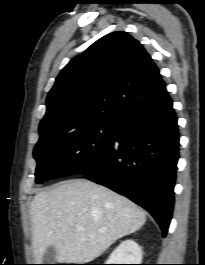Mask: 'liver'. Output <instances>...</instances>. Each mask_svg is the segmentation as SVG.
I'll list each match as a JSON object with an SVG mask.
<instances>
[{
    "mask_svg": "<svg viewBox=\"0 0 205 265\" xmlns=\"http://www.w3.org/2000/svg\"><path fill=\"white\" fill-rule=\"evenodd\" d=\"M30 215L37 264L49 246L55 248L57 262H91L146 221L145 212L129 199L83 179L38 192Z\"/></svg>",
    "mask_w": 205,
    "mask_h": 265,
    "instance_id": "liver-1",
    "label": "liver"
}]
</instances>
